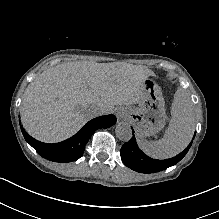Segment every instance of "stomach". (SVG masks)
<instances>
[{
	"instance_id": "0dacf381",
	"label": "stomach",
	"mask_w": 219,
	"mask_h": 219,
	"mask_svg": "<svg viewBox=\"0 0 219 219\" xmlns=\"http://www.w3.org/2000/svg\"><path fill=\"white\" fill-rule=\"evenodd\" d=\"M143 86L144 97L137 103V106L122 108L123 113L133 123L141 138L159 132L167 119L161 88L152 78H146Z\"/></svg>"
}]
</instances>
